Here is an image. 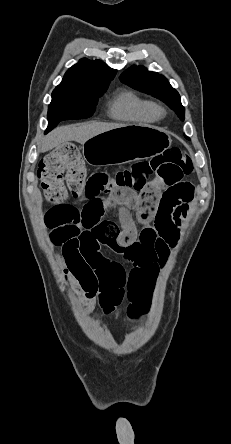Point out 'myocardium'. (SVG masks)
<instances>
[{
    "label": "myocardium",
    "instance_id": "obj_1",
    "mask_svg": "<svg viewBox=\"0 0 231 444\" xmlns=\"http://www.w3.org/2000/svg\"><path fill=\"white\" fill-rule=\"evenodd\" d=\"M156 111L159 114V116L164 115L165 114V108L163 106L160 105H156Z\"/></svg>",
    "mask_w": 231,
    "mask_h": 444
}]
</instances>
